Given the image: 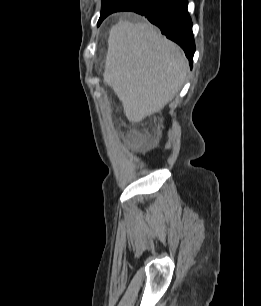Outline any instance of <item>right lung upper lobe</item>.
I'll use <instances>...</instances> for the list:
<instances>
[{
    "label": "right lung upper lobe",
    "mask_w": 261,
    "mask_h": 306,
    "mask_svg": "<svg viewBox=\"0 0 261 306\" xmlns=\"http://www.w3.org/2000/svg\"><path fill=\"white\" fill-rule=\"evenodd\" d=\"M103 1H109V0H102V2H103Z\"/></svg>",
    "instance_id": "obj_1"
}]
</instances>
